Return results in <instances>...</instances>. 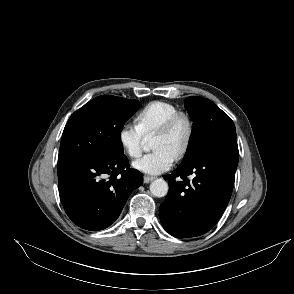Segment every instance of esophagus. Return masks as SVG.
I'll return each instance as SVG.
<instances>
[{
    "label": "esophagus",
    "instance_id": "1",
    "mask_svg": "<svg viewBox=\"0 0 294 294\" xmlns=\"http://www.w3.org/2000/svg\"><path fill=\"white\" fill-rule=\"evenodd\" d=\"M154 179H155V177H153V176L145 175V176H144V183H150V182L153 181Z\"/></svg>",
    "mask_w": 294,
    "mask_h": 294
}]
</instances>
